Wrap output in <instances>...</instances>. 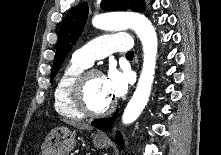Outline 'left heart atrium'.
Listing matches in <instances>:
<instances>
[{
  "label": "left heart atrium",
  "mask_w": 221,
  "mask_h": 155,
  "mask_svg": "<svg viewBox=\"0 0 221 155\" xmlns=\"http://www.w3.org/2000/svg\"><path fill=\"white\" fill-rule=\"evenodd\" d=\"M105 89L112 99L123 96L128 88V75L111 67L103 77Z\"/></svg>",
  "instance_id": "39dd6f15"
}]
</instances>
